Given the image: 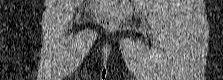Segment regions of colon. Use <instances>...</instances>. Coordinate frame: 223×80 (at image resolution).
Returning a JSON list of instances; mask_svg holds the SVG:
<instances>
[{
    "label": "colon",
    "mask_w": 223,
    "mask_h": 80,
    "mask_svg": "<svg viewBox=\"0 0 223 80\" xmlns=\"http://www.w3.org/2000/svg\"><path fill=\"white\" fill-rule=\"evenodd\" d=\"M101 23L102 25L106 26V27H110L113 25L112 22L108 21V20H105V19H101Z\"/></svg>",
    "instance_id": "obj_1"
}]
</instances>
